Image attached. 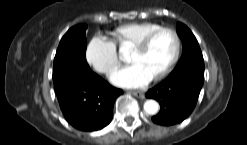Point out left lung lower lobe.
<instances>
[{"mask_svg":"<svg viewBox=\"0 0 247 145\" xmlns=\"http://www.w3.org/2000/svg\"><path fill=\"white\" fill-rule=\"evenodd\" d=\"M204 80V61L192 60L178 64L175 69L146 93L156 99L160 112L152 117L160 125H172L186 119L193 111Z\"/></svg>","mask_w":247,"mask_h":145,"instance_id":"obj_1","label":"left lung lower lobe"}]
</instances>
